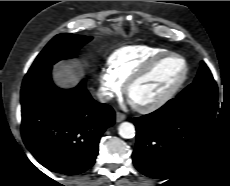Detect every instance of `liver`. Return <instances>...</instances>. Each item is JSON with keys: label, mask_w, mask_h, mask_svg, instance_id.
Masks as SVG:
<instances>
[{"label": "liver", "mask_w": 230, "mask_h": 186, "mask_svg": "<svg viewBox=\"0 0 230 186\" xmlns=\"http://www.w3.org/2000/svg\"><path fill=\"white\" fill-rule=\"evenodd\" d=\"M55 78L60 84L63 85L74 84L76 80V72L72 66L62 64L56 68Z\"/></svg>", "instance_id": "6515ba94"}]
</instances>
